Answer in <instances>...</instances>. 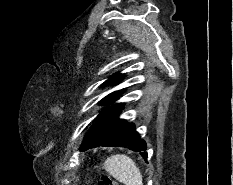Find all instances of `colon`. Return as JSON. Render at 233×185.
Masks as SVG:
<instances>
[{
  "instance_id": "colon-1",
  "label": "colon",
  "mask_w": 233,
  "mask_h": 185,
  "mask_svg": "<svg viewBox=\"0 0 233 185\" xmlns=\"http://www.w3.org/2000/svg\"><path fill=\"white\" fill-rule=\"evenodd\" d=\"M99 185H117V183L109 175H103Z\"/></svg>"
}]
</instances>
